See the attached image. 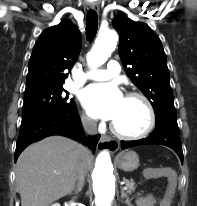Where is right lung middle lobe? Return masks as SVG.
<instances>
[{
  "label": "right lung middle lobe",
  "mask_w": 197,
  "mask_h": 206,
  "mask_svg": "<svg viewBox=\"0 0 197 206\" xmlns=\"http://www.w3.org/2000/svg\"><path fill=\"white\" fill-rule=\"evenodd\" d=\"M63 85L38 86L25 89L22 122L41 115L59 113L75 107L73 99L63 93Z\"/></svg>",
  "instance_id": "obj_1"
}]
</instances>
